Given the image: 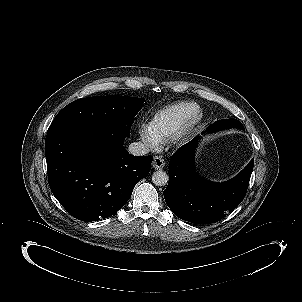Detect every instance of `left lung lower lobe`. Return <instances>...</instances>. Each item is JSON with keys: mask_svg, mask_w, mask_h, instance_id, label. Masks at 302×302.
Instances as JSON below:
<instances>
[{"mask_svg": "<svg viewBox=\"0 0 302 302\" xmlns=\"http://www.w3.org/2000/svg\"><path fill=\"white\" fill-rule=\"evenodd\" d=\"M208 131H217L211 125ZM195 138L183 145L169 162V183L165 202L179 218L196 223H215L233 211L243 200L250 181L254 159L234 178L210 182L194 172Z\"/></svg>", "mask_w": 302, "mask_h": 302, "instance_id": "left-lung-lower-lobe-1", "label": "left lung lower lobe"}]
</instances>
